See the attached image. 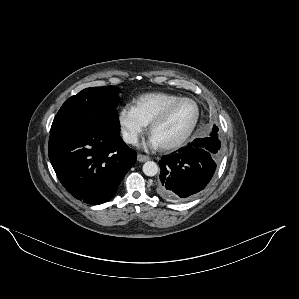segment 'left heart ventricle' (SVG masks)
I'll return each instance as SVG.
<instances>
[{"label": "left heart ventricle", "mask_w": 299, "mask_h": 299, "mask_svg": "<svg viewBox=\"0 0 299 299\" xmlns=\"http://www.w3.org/2000/svg\"><path fill=\"white\" fill-rule=\"evenodd\" d=\"M196 115V107L190 101H184L176 106L169 116L158 125L152 137L163 145L181 137L192 125Z\"/></svg>", "instance_id": "1"}]
</instances>
